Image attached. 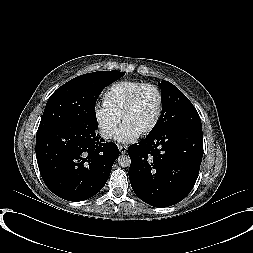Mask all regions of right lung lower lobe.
I'll return each mask as SVG.
<instances>
[{
    "label": "right lung lower lobe",
    "instance_id": "1",
    "mask_svg": "<svg viewBox=\"0 0 253 253\" xmlns=\"http://www.w3.org/2000/svg\"><path fill=\"white\" fill-rule=\"evenodd\" d=\"M97 128L74 122L37 132L40 174L60 198L86 200L107 182L119 150L115 143H103L104 139L96 134Z\"/></svg>",
    "mask_w": 253,
    "mask_h": 253
}]
</instances>
